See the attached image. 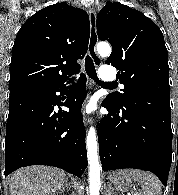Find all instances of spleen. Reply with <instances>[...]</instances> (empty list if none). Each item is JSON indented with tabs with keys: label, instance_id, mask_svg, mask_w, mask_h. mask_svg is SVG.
Instances as JSON below:
<instances>
[{
	"label": "spleen",
	"instance_id": "3e777b00",
	"mask_svg": "<svg viewBox=\"0 0 178 195\" xmlns=\"http://www.w3.org/2000/svg\"><path fill=\"white\" fill-rule=\"evenodd\" d=\"M121 173L139 182L144 195H162L161 183L155 175L140 170H122Z\"/></svg>",
	"mask_w": 178,
	"mask_h": 195
}]
</instances>
